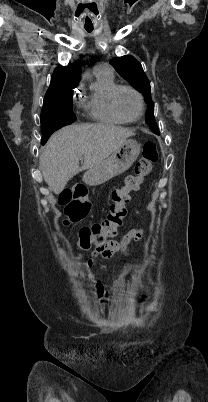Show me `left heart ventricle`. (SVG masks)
Segmentation results:
<instances>
[{
	"label": "left heart ventricle",
	"instance_id": "left-heart-ventricle-1",
	"mask_svg": "<svg viewBox=\"0 0 208 402\" xmlns=\"http://www.w3.org/2000/svg\"><path fill=\"white\" fill-rule=\"evenodd\" d=\"M117 107L118 110L128 118H135L140 112L138 97L128 90H123L118 94Z\"/></svg>",
	"mask_w": 208,
	"mask_h": 402
}]
</instances>
